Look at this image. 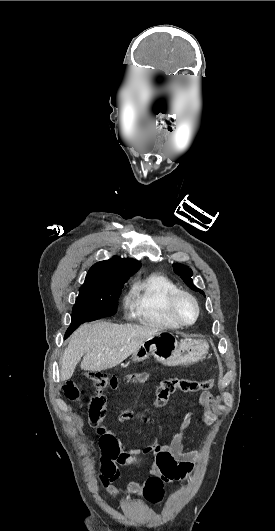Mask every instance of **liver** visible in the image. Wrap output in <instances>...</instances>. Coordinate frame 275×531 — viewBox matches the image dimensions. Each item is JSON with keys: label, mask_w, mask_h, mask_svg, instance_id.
<instances>
[{"label": "liver", "mask_w": 275, "mask_h": 531, "mask_svg": "<svg viewBox=\"0 0 275 531\" xmlns=\"http://www.w3.org/2000/svg\"><path fill=\"white\" fill-rule=\"evenodd\" d=\"M154 325H114V323H85L73 335L61 359V381L71 379L77 363L83 371H105L120 365L133 351L154 335H159Z\"/></svg>", "instance_id": "1"}]
</instances>
